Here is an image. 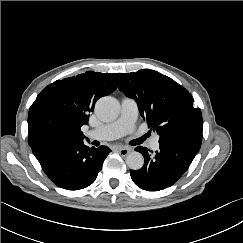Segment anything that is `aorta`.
I'll return each mask as SVG.
<instances>
[{
    "instance_id": "aorta-1",
    "label": "aorta",
    "mask_w": 243,
    "mask_h": 243,
    "mask_svg": "<svg viewBox=\"0 0 243 243\" xmlns=\"http://www.w3.org/2000/svg\"><path fill=\"white\" fill-rule=\"evenodd\" d=\"M95 113L99 119L109 122L118 117L119 104L112 97H102L95 105ZM126 164L132 170H139L143 167L144 157L137 151H132L126 156Z\"/></svg>"
}]
</instances>
